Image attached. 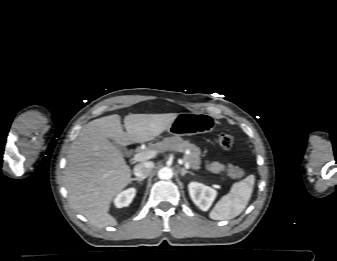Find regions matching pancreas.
Here are the masks:
<instances>
[{"mask_svg": "<svg viewBox=\"0 0 337 261\" xmlns=\"http://www.w3.org/2000/svg\"><path fill=\"white\" fill-rule=\"evenodd\" d=\"M155 147L159 151L170 150V151L184 152L186 150H189L190 153L184 155L183 161L189 163L190 167L194 170H198L200 168L201 150L196 145L191 144L187 140H183L178 136L168 137L163 139L161 142L156 143Z\"/></svg>", "mask_w": 337, "mask_h": 261, "instance_id": "1", "label": "pancreas"}]
</instances>
